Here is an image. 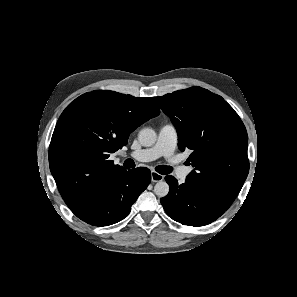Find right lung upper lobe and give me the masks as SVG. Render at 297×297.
<instances>
[{"label": "right lung upper lobe", "mask_w": 297, "mask_h": 297, "mask_svg": "<svg viewBox=\"0 0 297 297\" xmlns=\"http://www.w3.org/2000/svg\"><path fill=\"white\" fill-rule=\"evenodd\" d=\"M160 114L151 98L95 90L76 98L62 112L49 146V166L73 213L126 169L109 154L127 144L142 123Z\"/></svg>", "instance_id": "cb5924a9"}]
</instances>
